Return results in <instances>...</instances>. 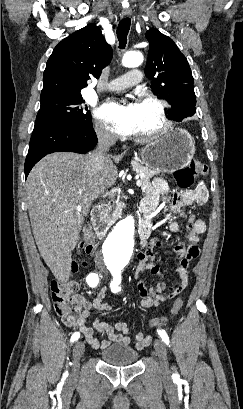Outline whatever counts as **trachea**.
Here are the masks:
<instances>
[{
    "label": "trachea",
    "mask_w": 243,
    "mask_h": 409,
    "mask_svg": "<svg viewBox=\"0 0 243 409\" xmlns=\"http://www.w3.org/2000/svg\"><path fill=\"white\" fill-rule=\"evenodd\" d=\"M130 23H131L130 18L126 17V18H123L119 22V25L117 27L116 34H117V38H118V41H119V48L120 49H124L125 46H126L127 35H128V32H129V29H130Z\"/></svg>",
    "instance_id": "trachea-1"
}]
</instances>
